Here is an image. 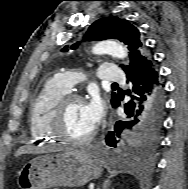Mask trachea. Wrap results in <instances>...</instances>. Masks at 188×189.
Segmentation results:
<instances>
[{
	"instance_id": "1",
	"label": "trachea",
	"mask_w": 188,
	"mask_h": 189,
	"mask_svg": "<svg viewBox=\"0 0 188 189\" xmlns=\"http://www.w3.org/2000/svg\"><path fill=\"white\" fill-rule=\"evenodd\" d=\"M112 85H117V83H113Z\"/></svg>"
}]
</instances>
